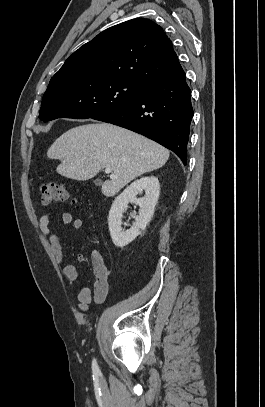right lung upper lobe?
<instances>
[{
	"label": "right lung upper lobe",
	"mask_w": 265,
	"mask_h": 407,
	"mask_svg": "<svg viewBox=\"0 0 265 407\" xmlns=\"http://www.w3.org/2000/svg\"><path fill=\"white\" fill-rule=\"evenodd\" d=\"M177 62L172 42L162 27L149 19L136 18L108 28L81 46L50 83L104 77L147 86L169 75Z\"/></svg>",
	"instance_id": "1"
}]
</instances>
